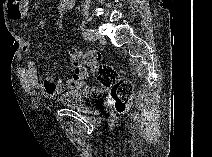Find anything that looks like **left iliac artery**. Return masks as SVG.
I'll return each instance as SVG.
<instances>
[{
  "label": "left iliac artery",
  "mask_w": 212,
  "mask_h": 157,
  "mask_svg": "<svg viewBox=\"0 0 212 157\" xmlns=\"http://www.w3.org/2000/svg\"><path fill=\"white\" fill-rule=\"evenodd\" d=\"M94 30L91 29H86L83 32V37L87 40H93L94 39V35H93Z\"/></svg>",
  "instance_id": "left-iliac-artery-1"
}]
</instances>
